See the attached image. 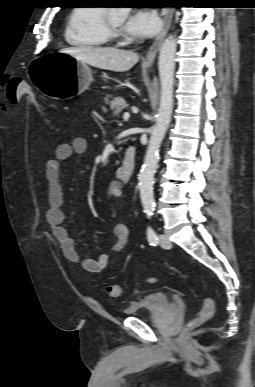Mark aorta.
I'll return each mask as SVG.
<instances>
[{"instance_id":"762f6f07","label":"aorta","mask_w":255,"mask_h":387,"mask_svg":"<svg viewBox=\"0 0 255 387\" xmlns=\"http://www.w3.org/2000/svg\"><path fill=\"white\" fill-rule=\"evenodd\" d=\"M115 12L126 15L129 8L122 7L114 10ZM177 43L174 37L170 36L164 40L161 45L158 69L160 77V104L156 123L151 130V137L147 152L144 159V164L139 174V189L140 198L144 212L150 216L155 210L154 200V174L159 161V148L169 127L173 110V85L175 71V54Z\"/></svg>"}]
</instances>
